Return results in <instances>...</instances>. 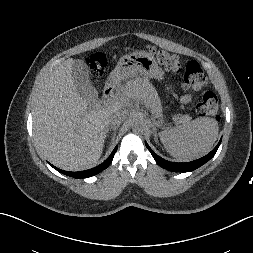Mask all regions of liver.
Returning <instances> with one entry per match:
<instances>
[{
  "instance_id": "1",
  "label": "liver",
  "mask_w": 253,
  "mask_h": 253,
  "mask_svg": "<svg viewBox=\"0 0 253 253\" xmlns=\"http://www.w3.org/2000/svg\"><path fill=\"white\" fill-rule=\"evenodd\" d=\"M73 62L68 59L60 64L40 91L33 109V131L52 164L80 171L93 167L101 157L110 114L126 110L132 101L145 100L147 92L137 81L121 84L125 76L119 75L109 84L121 91L119 98L105 107L89 104L74 86Z\"/></svg>"
}]
</instances>
